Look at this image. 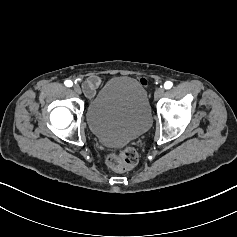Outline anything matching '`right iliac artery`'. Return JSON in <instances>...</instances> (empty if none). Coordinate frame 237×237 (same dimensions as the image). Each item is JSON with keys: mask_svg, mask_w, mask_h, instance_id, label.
Masks as SVG:
<instances>
[{"mask_svg": "<svg viewBox=\"0 0 237 237\" xmlns=\"http://www.w3.org/2000/svg\"><path fill=\"white\" fill-rule=\"evenodd\" d=\"M64 84H65L67 87H72V85H73V83H72L71 80H66V81L64 82Z\"/></svg>", "mask_w": 237, "mask_h": 237, "instance_id": "obj_1", "label": "right iliac artery"}]
</instances>
